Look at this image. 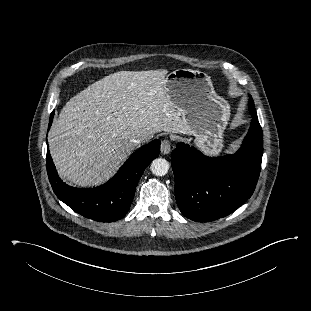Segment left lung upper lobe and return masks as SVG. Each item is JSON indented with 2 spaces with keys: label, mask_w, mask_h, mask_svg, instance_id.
Segmentation results:
<instances>
[{
  "label": "left lung upper lobe",
  "mask_w": 311,
  "mask_h": 311,
  "mask_svg": "<svg viewBox=\"0 0 311 311\" xmlns=\"http://www.w3.org/2000/svg\"><path fill=\"white\" fill-rule=\"evenodd\" d=\"M249 111H250L251 114L256 113L255 106H254V101H253L252 98L249 100Z\"/></svg>",
  "instance_id": "obj_1"
}]
</instances>
